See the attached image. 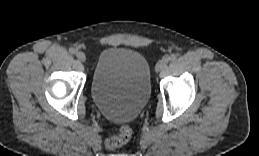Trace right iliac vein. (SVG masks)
<instances>
[{
	"label": "right iliac vein",
	"mask_w": 259,
	"mask_h": 156,
	"mask_svg": "<svg viewBox=\"0 0 259 156\" xmlns=\"http://www.w3.org/2000/svg\"><path fill=\"white\" fill-rule=\"evenodd\" d=\"M76 56H77V58H78L79 61L85 62L86 56H85V54H84L82 51H78V52L76 53Z\"/></svg>",
	"instance_id": "right-iliac-vein-1"
}]
</instances>
